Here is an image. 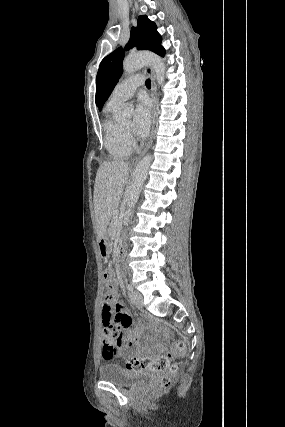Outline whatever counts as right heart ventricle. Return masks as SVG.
Listing matches in <instances>:
<instances>
[{
  "mask_svg": "<svg viewBox=\"0 0 285 427\" xmlns=\"http://www.w3.org/2000/svg\"><path fill=\"white\" fill-rule=\"evenodd\" d=\"M119 105L108 103L104 110L103 131L104 146L114 160H123L130 156L132 144L121 123L114 118V112Z\"/></svg>",
  "mask_w": 285,
  "mask_h": 427,
  "instance_id": "right-heart-ventricle-1",
  "label": "right heart ventricle"
}]
</instances>
